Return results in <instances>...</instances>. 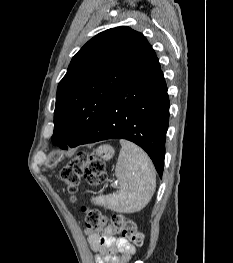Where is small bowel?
I'll use <instances>...</instances> for the list:
<instances>
[{
	"label": "small bowel",
	"instance_id": "c3829d8e",
	"mask_svg": "<svg viewBox=\"0 0 233 263\" xmlns=\"http://www.w3.org/2000/svg\"><path fill=\"white\" fill-rule=\"evenodd\" d=\"M85 233L97 253L96 263H129L135 254V248L111 226L88 227Z\"/></svg>",
	"mask_w": 233,
	"mask_h": 263
}]
</instances>
